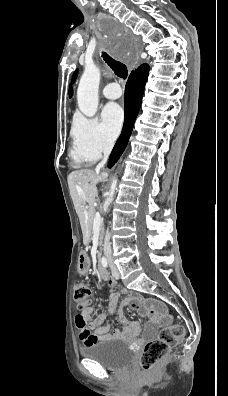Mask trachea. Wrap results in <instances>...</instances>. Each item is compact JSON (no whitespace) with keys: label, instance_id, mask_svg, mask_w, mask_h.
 Wrapping results in <instances>:
<instances>
[{"label":"trachea","instance_id":"trachea-1","mask_svg":"<svg viewBox=\"0 0 228 396\" xmlns=\"http://www.w3.org/2000/svg\"><path fill=\"white\" fill-rule=\"evenodd\" d=\"M102 57L118 77L123 79L127 78L128 70L126 65H124L119 61L114 60L105 52L102 53Z\"/></svg>","mask_w":228,"mask_h":396}]
</instances>
